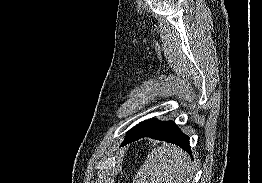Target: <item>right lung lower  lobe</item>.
I'll return each instance as SVG.
<instances>
[{
    "instance_id": "98d812e1",
    "label": "right lung lower lobe",
    "mask_w": 262,
    "mask_h": 183,
    "mask_svg": "<svg viewBox=\"0 0 262 183\" xmlns=\"http://www.w3.org/2000/svg\"><path fill=\"white\" fill-rule=\"evenodd\" d=\"M143 137L176 144L191 154L188 136L183 134L172 121H158L156 119L145 121L129 131L122 146Z\"/></svg>"
}]
</instances>
